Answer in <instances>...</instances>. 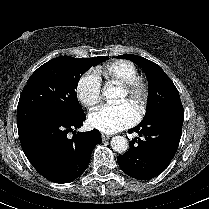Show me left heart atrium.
I'll list each match as a JSON object with an SVG mask.
<instances>
[{
	"label": "left heart atrium",
	"mask_w": 209,
	"mask_h": 209,
	"mask_svg": "<svg viewBox=\"0 0 209 209\" xmlns=\"http://www.w3.org/2000/svg\"><path fill=\"white\" fill-rule=\"evenodd\" d=\"M136 109L128 102L103 105L90 113V126L103 133H115L133 125L137 120Z\"/></svg>",
	"instance_id": "left-heart-atrium-1"
}]
</instances>
